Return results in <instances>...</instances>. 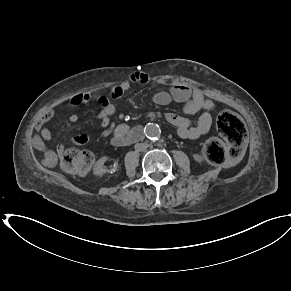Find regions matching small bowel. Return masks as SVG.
Segmentation results:
<instances>
[{
  "mask_svg": "<svg viewBox=\"0 0 291 291\" xmlns=\"http://www.w3.org/2000/svg\"><path fill=\"white\" fill-rule=\"evenodd\" d=\"M150 81L149 76L143 72H136L132 74L130 80L121 82L118 85L111 87L107 95H102L98 98L100 110L96 117L101 121V126L105 130L111 129L110 118L115 114L116 107L112 100H118L131 88L132 84L146 85ZM91 95L89 93H79L74 95L67 105H81L89 102ZM152 100L159 106H165L173 100L184 104L183 112L186 115L194 114L202 111L198 120L192 124L191 121L181 115L168 113L165 115L166 120L177 128L180 137L185 139H196L200 136L207 134L211 128L212 116L211 110L214 104L211 100L207 99L204 94L196 89L186 85H175L169 91L156 92ZM55 111L48 110L39 120L37 124V134L33 137V146L38 150H45V142L52 140V133L48 128L49 121L53 118ZM79 116L77 113H72L69 116L70 122H77ZM114 137L126 136L131 130L125 124H119L113 129ZM89 136L86 134L75 136L72 141L75 144H85L89 141ZM65 151L62 144H58L55 152L47 151L44 157V162L51 165L57 157H60Z\"/></svg>",
  "mask_w": 291,
  "mask_h": 291,
  "instance_id": "small-bowel-1",
  "label": "small bowel"
}]
</instances>
